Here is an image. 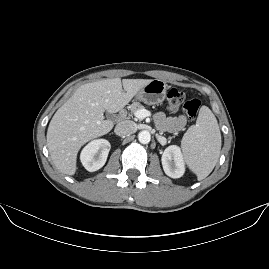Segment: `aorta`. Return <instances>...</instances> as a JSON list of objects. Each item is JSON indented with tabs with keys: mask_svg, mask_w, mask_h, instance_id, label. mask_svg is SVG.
Masks as SVG:
<instances>
[{
	"mask_svg": "<svg viewBox=\"0 0 269 269\" xmlns=\"http://www.w3.org/2000/svg\"><path fill=\"white\" fill-rule=\"evenodd\" d=\"M139 142L142 144H148L151 140L150 132L147 130H143L138 134Z\"/></svg>",
	"mask_w": 269,
	"mask_h": 269,
	"instance_id": "obj_1",
	"label": "aorta"
}]
</instances>
